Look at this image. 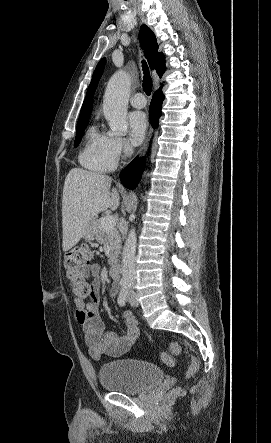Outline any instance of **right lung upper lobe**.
I'll use <instances>...</instances> for the list:
<instances>
[{
    "mask_svg": "<svg viewBox=\"0 0 271 443\" xmlns=\"http://www.w3.org/2000/svg\"><path fill=\"white\" fill-rule=\"evenodd\" d=\"M139 39L145 50V55L148 60L150 68L156 69V72L159 75V77H162L163 73L165 72V57L162 53H157L158 44L154 33L149 27H147L146 25H142L139 31ZM104 65H105V58L98 63L94 71L78 120L89 117L92 111V105H93L92 96L96 90L98 81L103 73Z\"/></svg>",
    "mask_w": 271,
    "mask_h": 443,
    "instance_id": "cb5924a9",
    "label": "right lung upper lobe"
}]
</instances>
